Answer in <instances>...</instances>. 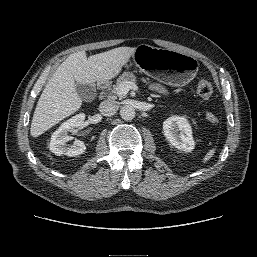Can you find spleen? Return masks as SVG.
<instances>
[{
	"instance_id": "3e777b00",
	"label": "spleen",
	"mask_w": 257,
	"mask_h": 257,
	"mask_svg": "<svg viewBox=\"0 0 257 257\" xmlns=\"http://www.w3.org/2000/svg\"><path fill=\"white\" fill-rule=\"evenodd\" d=\"M216 150L213 148V149H210L206 155L204 156L202 162L203 163H206L207 161H209L215 154Z\"/></svg>"
}]
</instances>
